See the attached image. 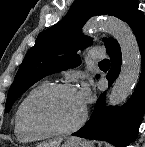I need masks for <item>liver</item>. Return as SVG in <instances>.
<instances>
[{
  "label": "liver",
  "instance_id": "liver-1",
  "mask_svg": "<svg viewBox=\"0 0 145 147\" xmlns=\"http://www.w3.org/2000/svg\"><path fill=\"white\" fill-rule=\"evenodd\" d=\"M61 140L49 142V143H40L37 147H59Z\"/></svg>",
  "mask_w": 145,
  "mask_h": 147
}]
</instances>
